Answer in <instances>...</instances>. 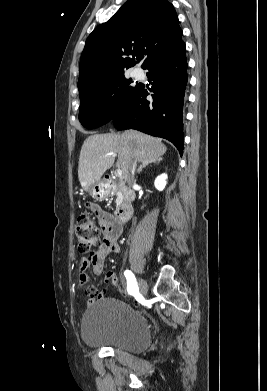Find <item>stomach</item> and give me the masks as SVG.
<instances>
[{
    "label": "stomach",
    "mask_w": 267,
    "mask_h": 391,
    "mask_svg": "<svg viewBox=\"0 0 267 391\" xmlns=\"http://www.w3.org/2000/svg\"><path fill=\"white\" fill-rule=\"evenodd\" d=\"M111 188L108 183L101 180L93 185H91L88 189L89 194L96 200H102L109 196Z\"/></svg>",
    "instance_id": "0dacf381"
}]
</instances>
